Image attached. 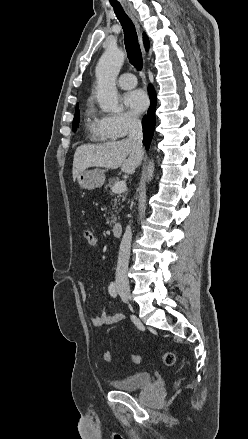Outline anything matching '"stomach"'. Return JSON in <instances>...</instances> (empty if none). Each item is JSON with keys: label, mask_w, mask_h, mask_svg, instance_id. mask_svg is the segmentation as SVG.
<instances>
[{"label": "stomach", "mask_w": 248, "mask_h": 439, "mask_svg": "<svg viewBox=\"0 0 248 439\" xmlns=\"http://www.w3.org/2000/svg\"><path fill=\"white\" fill-rule=\"evenodd\" d=\"M77 182L81 188L93 190L101 187L105 182V174L102 170H85L77 176Z\"/></svg>", "instance_id": "1"}]
</instances>
